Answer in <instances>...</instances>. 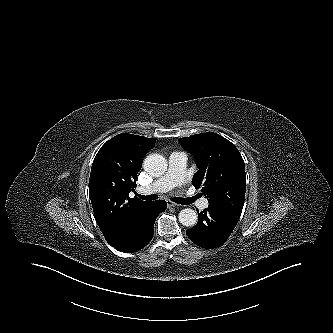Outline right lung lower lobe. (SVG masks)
<instances>
[{
	"mask_svg": "<svg viewBox=\"0 0 333 333\" xmlns=\"http://www.w3.org/2000/svg\"><path fill=\"white\" fill-rule=\"evenodd\" d=\"M167 204L164 200L153 201L133 218L128 225L125 235L113 247L124 253H131L144 248L154 234V223L157 216L165 211Z\"/></svg>",
	"mask_w": 333,
	"mask_h": 333,
	"instance_id": "right-lung-lower-lobe-1",
	"label": "right lung lower lobe"
}]
</instances>
